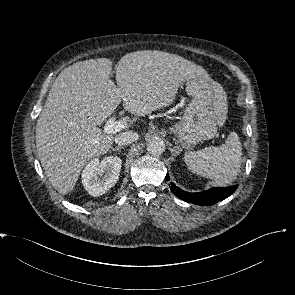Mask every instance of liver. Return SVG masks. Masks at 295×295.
<instances>
[{
  "mask_svg": "<svg viewBox=\"0 0 295 295\" xmlns=\"http://www.w3.org/2000/svg\"><path fill=\"white\" fill-rule=\"evenodd\" d=\"M108 58L80 61L65 68L54 81L36 125V147L51 185L71 192L84 165L108 152L113 136L97 125L123 101L132 114L149 115L170 106L178 88L198 76L209 77L199 65L162 51H136L116 64ZM134 119L122 121L127 130Z\"/></svg>",
  "mask_w": 295,
  "mask_h": 295,
  "instance_id": "liver-1",
  "label": "liver"
}]
</instances>
